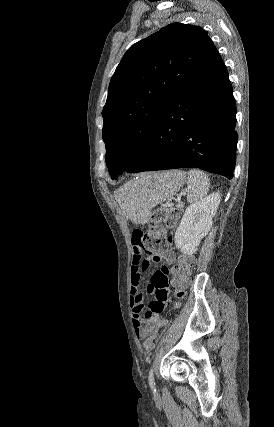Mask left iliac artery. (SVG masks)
Wrapping results in <instances>:
<instances>
[{"instance_id": "44dca946", "label": "left iliac artery", "mask_w": 274, "mask_h": 427, "mask_svg": "<svg viewBox=\"0 0 274 427\" xmlns=\"http://www.w3.org/2000/svg\"><path fill=\"white\" fill-rule=\"evenodd\" d=\"M148 380H149V385H150L151 389H152L154 392H156V389H155V382H154V374H153V369H152V368H150V370H149Z\"/></svg>"}]
</instances>
